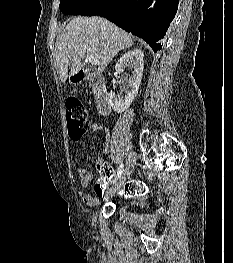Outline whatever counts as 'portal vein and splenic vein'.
I'll list each match as a JSON object with an SVG mask.
<instances>
[{
    "instance_id": "obj_1",
    "label": "portal vein and splenic vein",
    "mask_w": 233,
    "mask_h": 263,
    "mask_svg": "<svg viewBox=\"0 0 233 263\" xmlns=\"http://www.w3.org/2000/svg\"><path fill=\"white\" fill-rule=\"evenodd\" d=\"M86 61L91 63V64H95V65L99 64L98 59L96 57H94L93 55H90V54L86 55Z\"/></svg>"
}]
</instances>
